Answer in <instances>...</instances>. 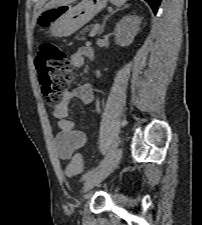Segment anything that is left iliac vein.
I'll list each match as a JSON object with an SVG mask.
<instances>
[{"label": "left iliac vein", "instance_id": "1", "mask_svg": "<svg viewBox=\"0 0 202 225\" xmlns=\"http://www.w3.org/2000/svg\"><path fill=\"white\" fill-rule=\"evenodd\" d=\"M122 149H117L111 156L110 160L106 163V165L101 169V171L94 177L87 180L84 184V191L87 192L94 186L98 185L105 178H107L117 167L121 158H122Z\"/></svg>", "mask_w": 202, "mask_h": 225}]
</instances>
